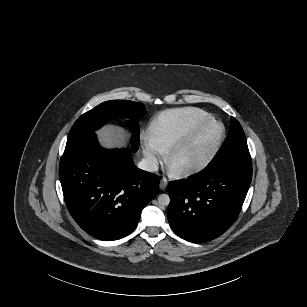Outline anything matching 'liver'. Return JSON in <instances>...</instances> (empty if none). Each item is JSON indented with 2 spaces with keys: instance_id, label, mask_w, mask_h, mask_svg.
I'll return each instance as SVG.
<instances>
[{
  "instance_id": "6515ba94",
  "label": "liver",
  "mask_w": 307,
  "mask_h": 307,
  "mask_svg": "<svg viewBox=\"0 0 307 307\" xmlns=\"http://www.w3.org/2000/svg\"><path fill=\"white\" fill-rule=\"evenodd\" d=\"M94 133L98 147L104 152L122 151L132 138L128 128L112 122L103 124Z\"/></svg>"
}]
</instances>
